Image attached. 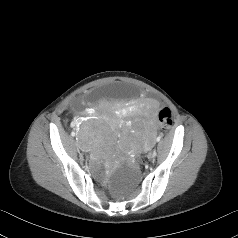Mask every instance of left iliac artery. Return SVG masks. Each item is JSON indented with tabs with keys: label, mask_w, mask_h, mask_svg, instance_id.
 Returning a JSON list of instances; mask_svg holds the SVG:
<instances>
[{
	"label": "left iliac artery",
	"mask_w": 238,
	"mask_h": 238,
	"mask_svg": "<svg viewBox=\"0 0 238 238\" xmlns=\"http://www.w3.org/2000/svg\"><path fill=\"white\" fill-rule=\"evenodd\" d=\"M160 139H161V137H160V136H158V137L156 138V141H157V142H159V141H160Z\"/></svg>",
	"instance_id": "44dca946"
}]
</instances>
